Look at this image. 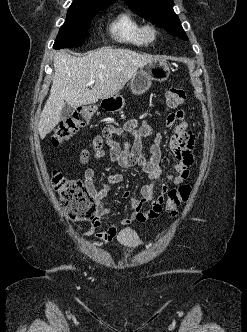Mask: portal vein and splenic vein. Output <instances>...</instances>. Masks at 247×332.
<instances>
[{
    "label": "portal vein and splenic vein",
    "instance_id": "portal-vein-and-splenic-vein-1",
    "mask_svg": "<svg viewBox=\"0 0 247 332\" xmlns=\"http://www.w3.org/2000/svg\"><path fill=\"white\" fill-rule=\"evenodd\" d=\"M94 83H95V80H90V81L86 84V86H92Z\"/></svg>",
    "mask_w": 247,
    "mask_h": 332
}]
</instances>
